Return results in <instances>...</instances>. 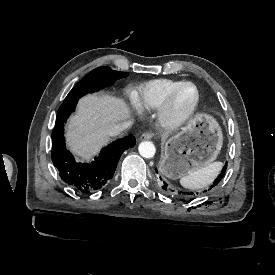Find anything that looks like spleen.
I'll return each mask as SVG.
<instances>
[{"instance_id": "3e777b00", "label": "spleen", "mask_w": 275, "mask_h": 275, "mask_svg": "<svg viewBox=\"0 0 275 275\" xmlns=\"http://www.w3.org/2000/svg\"><path fill=\"white\" fill-rule=\"evenodd\" d=\"M222 167L221 162L210 163L203 168L193 171L180 179L181 184L189 189H197L210 184Z\"/></svg>"}]
</instances>
